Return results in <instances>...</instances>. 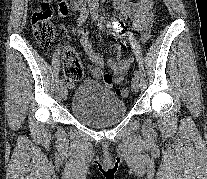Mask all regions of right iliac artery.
I'll return each mask as SVG.
<instances>
[{
    "instance_id": "82829eb1",
    "label": "right iliac artery",
    "mask_w": 207,
    "mask_h": 179,
    "mask_svg": "<svg viewBox=\"0 0 207 179\" xmlns=\"http://www.w3.org/2000/svg\"><path fill=\"white\" fill-rule=\"evenodd\" d=\"M90 9H91L90 7H85L83 9V11L81 12V14L78 18V21H77L78 26H81L83 23H85V21L87 20L88 15H89ZM64 83H65L64 80H61V86H63Z\"/></svg>"
}]
</instances>
